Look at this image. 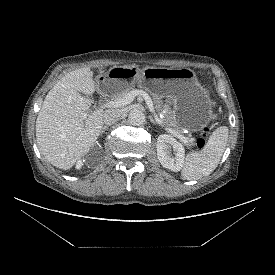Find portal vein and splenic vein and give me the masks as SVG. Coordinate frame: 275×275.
Returning a JSON list of instances; mask_svg holds the SVG:
<instances>
[{
  "mask_svg": "<svg viewBox=\"0 0 275 275\" xmlns=\"http://www.w3.org/2000/svg\"><path fill=\"white\" fill-rule=\"evenodd\" d=\"M136 96H142L144 98V100H145V102H146V104L149 108V111L153 114L155 120L157 121V123L159 125L164 127L165 130H167L170 134H172L173 136L180 139V141L183 142L184 144H188V140L183 135H181L180 133L176 132L175 130H173L171 128H167L163 125L162 119L158 117V115L156 114V112L154 110V106H153V102H152L151 97L148 95V93H146L143 90L130 91L123 98L104 103L101 107L102 108H119V107H123V106H126L127 104L131 103L135 99ZM86 116H87V113L84 114V117H86Z\"/></svg>",
  "mask_w": 275,
  "mask_h": 275,
  "instance_id": "18ae733b",
  "label": "portal vein and splenic vein"
}]
</instances>
